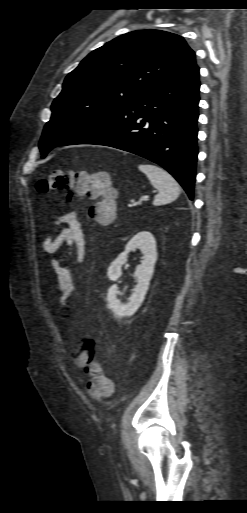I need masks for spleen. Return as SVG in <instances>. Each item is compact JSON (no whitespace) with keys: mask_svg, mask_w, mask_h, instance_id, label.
<instances>
[{"mask_svg":"<svg viewBox=\"0 0 247 513\" xmlns=\"http://www.w3.org/2000/svg\"><path fill=\"white\" fill-rule=\"evenodd\" d=\"M138 169L146 174L152 186L158 190L153 201L155 206L170 203L178 198L180 187L171 174L152 164H139Z\"/></svg>","mask_w":247,"mask_h":513,"instance_id":"1","label":"spleen"}]
</instances>
